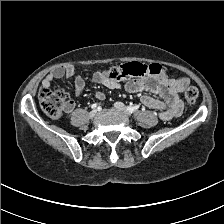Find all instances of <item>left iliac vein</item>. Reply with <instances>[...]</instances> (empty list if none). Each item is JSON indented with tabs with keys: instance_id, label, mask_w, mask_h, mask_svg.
I'll use <instances>...</instances> for the list:
<instances>
[{
	"instance_id": "4c4485c4",
	"label": "left iliac vein",
	"mask_w": 224,
	"mask_h": 224,
	"mask_svg": "<svg viewBox=\"0 0 224 224\" xmlns=\"http://www.w3.org/2000/svg\"><path fill=\"white\" fill-rule=\"evenodd\" d=\"M114 107L120 111H122L127 117H130V114L127 110V108L125 107V105L121 102H116L114 103Z\"/></svg>"
}]
</instances>
